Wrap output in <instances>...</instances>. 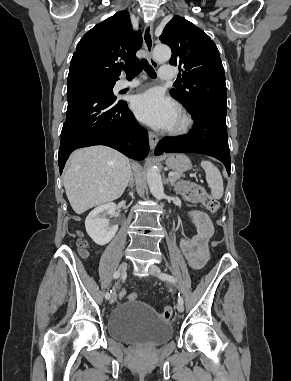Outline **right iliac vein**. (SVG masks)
I'll use <instances>...</instances> for the list:
<instances>
[{"instance_id": "1", "label": "right iliac vein", "mask_w": 291, "mask_h": 381, "mask_svg": "<svg viewBox=\"0 0 291 381\" xmlns=\"http://www.w3.org/2000/svg\"><path fill=\"white\" fill-rule=\"evenodd\" d=\"M126 270H127V263L126 262L121 263L118 268V272L120 274H124ZM115 300H116V292L114 291L110 297V303L115 302Z\"/></svg>"}]
</instances>
